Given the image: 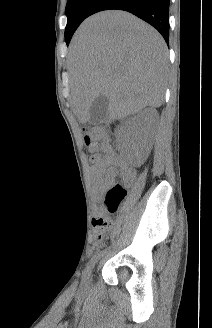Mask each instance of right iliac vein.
<instances>
[{
  "instance_id": "63e3f726",
  "label": "right iliac vein",
  "mask_w": 212,
  "mask_h": 328,
  "mask_svg": "<svg viewBox=\"0 0 212 328\" xmlns=\"http://www.w3.org/2000/svg\"><path fill=\"white\" fill-rule=\"evenodd\" d=\"M90 278H91V272H90V274L88 275L87 279L85 280V283H86V284L89 283Z\"/></svg>"
}]
</instances>
